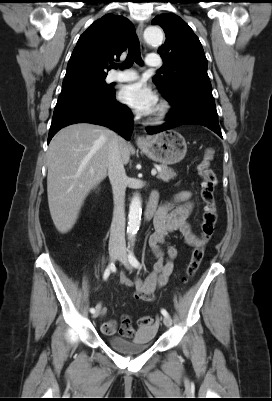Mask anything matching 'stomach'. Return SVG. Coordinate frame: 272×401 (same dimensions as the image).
<instances>
[{
	"instance_id": "obj_1",
	"label": "stomach",
	"mask_w": 272,
	"mask_h": 401,
	"mask_svg": "<svg viewBox=\"0 0 272 401\" xmlns=\"http://www.w3.org/2000/svg\"><path fill=\"white\" fill-rule=\"evenodd\" d=\"M139 147L150 159L162 165L180 162L187 152L185 138L175 130L149 137L146 143L140 144Z\"/></svg>"
}]
</instances>
